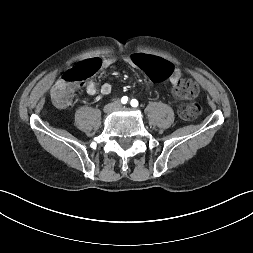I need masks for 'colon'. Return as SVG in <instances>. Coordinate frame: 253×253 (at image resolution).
I'll return each instance as SVG.
<instances>
[{
    "instance_id": "1",
    "label": "colon",
    "mask_w": 253,
    "mask_h": 253,
    "mask_svg": "<svg viewBox=\"0 0 253 253\" xmlns=\"http://www.w3.org/2000/svg\"><path fill=\"white\" fill-rule=\"evenodd\" d=\"M133 61L138 68L146 71L153 80H159L168 76L172 71V66L168 62L162 61L157 55L148 52H137L133 56ZM101 67L99 59L93 58L81 62L68 71L55 83L52 89L54 102L61 107L67 106L71 100L72 86L95 75ZM174 92L181 98H193L198 93L196 83L190 79H181L175 86ZM201 112V106L194 102L184 104L179 109V115L184 120H194Z\"/></svg>"
}]
</instances>
